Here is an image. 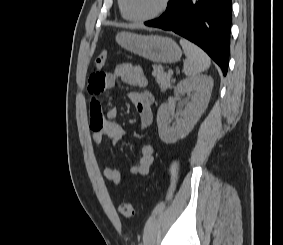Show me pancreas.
Wrapping results in <instances>:
<instances>
[{
    "label": "pancreas",
    "instance_id": "1",
    "mask_svg": "<svg viewBox=\"0 0 283 245\" xmlns=\"http://www.w3.org/2000/svg\"><path fill=\"white\" fill-rule=\"evenodd\" d=\"M152 75L162 91H165L170 86L172 74L165 73L162 66L154 65Z\"/></svg>",
    "mask_w": 283,
    "mask_h": 245
}]
</instances>
